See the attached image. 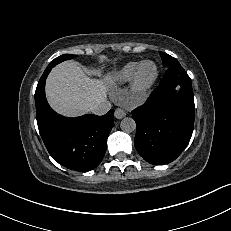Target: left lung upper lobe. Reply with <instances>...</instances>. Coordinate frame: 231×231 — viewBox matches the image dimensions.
Segmentation results:
<instances>
[{"label":"left lung upper lobe","instance_id":"obj_1","mask_svg":"<svg viewBox=\"0 0 231 231\" xmlns=\"http://www.w3.org/2000/svg\"><path fill=\"white\" fill-rule=\"evenodd\" d=\"M160 53V56L162 58V61H163V65L168 68L172 65H175V64H179L178 60L175 59L174 57L166 54V53H163V52H159Z\"/></svg>","mask_w":231,"mask_h":231}]
</instances>
